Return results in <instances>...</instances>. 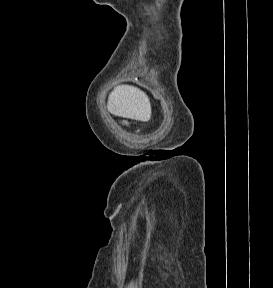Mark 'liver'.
Returning <instances> with one entry per match:
<instances>
[{"label": "liver", "instance_id": "obj_1", "mask_svg": "<svg viewBox=\"0 0 273 288\" xmlns=\"http://www.w3.org/2000/svg\"><path fill=\"white\" fill-rule=\"evenodd\" d=\"M108 111L118 117L148 122L151 104L145 92L131 85H118L109 94Z\"/></svg>", "mask_w": 273, "mask_h": 288}]
</instances>
